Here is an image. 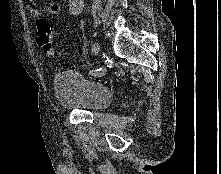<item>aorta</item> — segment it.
Listing matches in <instances>:
<instances>
[{
  "mask_svg": "<svg viewBox=\"0 0 221 174\" xmlns=\"http://www.w3.org/2000/svg\"><path fill=\"white\" fill-rule=\"evenodd\" d=\"M70 7L75 14H79L84 6V0H69Z\"/></svg>",
  "mask_w": 221,
  "mask_h": 174,
  "instance_id": "aorta-1",
  "label": "aorta"
}]
</instances>
